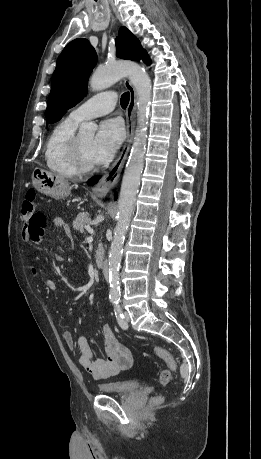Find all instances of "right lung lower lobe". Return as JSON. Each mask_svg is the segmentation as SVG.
Wrapping results in <instances>:
<instances>
[{
  "instance_id": "1",
  "label": "right lung lower lobe",
  "mask_w": 261,
  "mask_h": 459,
  "mask_svg": "<svg viewBox=\"0 0 261 459\" xmlns=\"http://www.w3.org/2000/svg\"><path fill=\"white\" fill-rule=\"evenodd\" d=\"M114 199H115V200L117 199V194H116V193L114 194Z\"/></svg>"
}]
</instances>
